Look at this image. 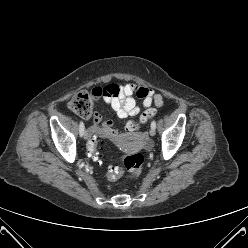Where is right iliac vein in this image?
Returning a JSON list of instances; mask_svg holds the SVG:
<instances>
[{
	"label": "right iliac vein",
	"instance_id": "1",
	"mask_svg": "<svg viewBox=\"0 0 248 248\" xmlns=\"http://www.w3.org/2000/svg\"><path fill=\"white\" fill-rule=\"evenodd\" d=\"M83 137H84V139H86V140L89 139V133H88L87 130L84 131Z\"/></svg>",
	"mask_w": 248,
	"mask_h": 248
}]
</instances>
